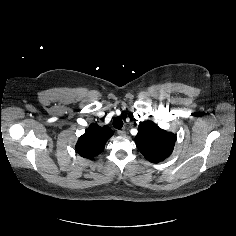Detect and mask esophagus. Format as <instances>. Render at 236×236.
<instances>
[{
	"label": "esophagus",
	"instance_id": "esophagus-1",
	"mask_svg": "<svg viewBox=\"0 0 236 236\" xmlns=\"http://www.w3.org/2000/svg\"><path fill=\"white\" fill-rule=\"evenodd\" d=\"M119 136H126V131L125 130H118L117 131Z\"/></svg>",
	"mask_w": 236,
	"mask_h": 236
}]
</instances>
